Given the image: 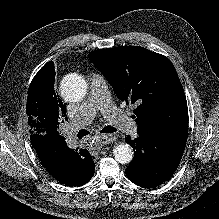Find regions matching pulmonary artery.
<instances>
[{
    "mask_svg": "<svg viewBox=\"0 0 219 219\" xmlns=\"http://www.w3.org/2000/svg\"><path fill=\"white\" fill-rule=\"evenodd\" d=\"M98 111L119 130L130 134L136 132V124L112 102L105 78L101 74L95 73L90 79L89 96L80 106L74 122L88 124Z\"/></svg>",
    "mask_w": 219,
    "mask_h": 219,
    "instance_id": "obj_1",
    "label": "pulmonary artery"
}]
</instances>
